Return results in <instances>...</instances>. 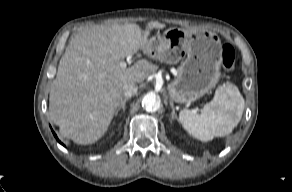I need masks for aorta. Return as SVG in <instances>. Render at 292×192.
Masks as SVG:
<instances>
[{"label": "aorta", "instance_id": "obj_1", "mask_svg": "<svg viewBox=\"0 0 292 192\" xmlns=\"http://www.w3.org/2000/svg\"><path fill=\"white\" fill-rule=\"evenodd\" d=\"M142 106L148 112H155L160 108V100L155 93L149 92L142 99Z\"/></svg>", "mask_w": 292, "mask_h": 192}]
</instances>
